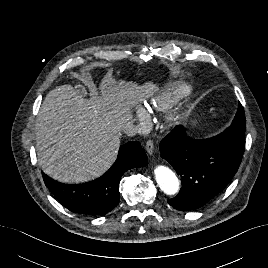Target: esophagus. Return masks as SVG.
I'll return each instance as SVG.
<instances>
[{
    "label": "esophagus",
    "mask_w": 268,
    "mask_h": 268,
    "mask_svg": "<svg viewBox=\"0 0 268 268\" xmlns=\"http://www.w3.org/2000/svg\"><path fill=\"white\" fill-rule=\"evenodd\" d=\"M145 147H146V151H147V153H148L149 155H152L153 152H154V150H155L153 142H152L151 140H148V141L146 142V146H145Z\"/></svg>",
    "instance_id": "34e87169"
}]
</instances>
